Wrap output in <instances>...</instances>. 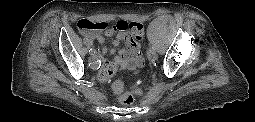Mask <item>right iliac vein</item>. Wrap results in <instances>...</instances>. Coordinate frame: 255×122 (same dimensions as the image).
I'll use <instances>...</instances> for the list:
<instances>
[{
  "mask_svg": "<svg viewBox=\"0 0 255 122\" xmlns=\"http://www.w3.org/2000/svg\"><path fill=\"white\" fill-rule=\"evenodd\" d=\"M93 60H97L99 58V54L95 51L91 54Z\"/></svg>",
  "mask_w": 255,
  "mask_h": 122,
  "instance_id": "63e3f726",
  "label": "right iliac vein"
}]
</instances>
